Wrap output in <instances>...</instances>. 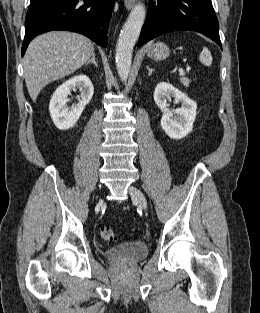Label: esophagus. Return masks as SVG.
Wrapping results in <instances>:
<instances>
[{
  "label": "esophagus",
  "mask_w": 260,
  "mask_h": 313,
  "mask_svg": "<svg viewBox=\"0 0 260 313\" xmlns=\"http://www.w3.org/2000/svg\"><path fill=\"white\" fill-rule=\"evenodd\" d=\"M124 4L127 10H131L135 5V0H124Z\"/></svg>",
  "instance_id": "obj_1"
}]
</instances>
